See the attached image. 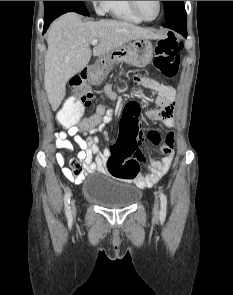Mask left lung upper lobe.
Instances as JSON below:
<instances>
[{"mask_svg":"<svg viewBox=\"0 0 233 295\" xmlns=\"http://www.w3.org/2000/svg\"><path fill=\"white\" fill-rule=\"evenodd\" d=\"M164 4L165 18L172 21L186 16L184 1H162Z\"/></svg>","mask_w":233,"mask_h":295,"instance_id":"left-lung-upper-lobe-1","label":"left lung upper lobe"}]
</instances>
